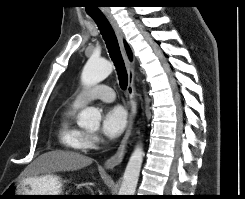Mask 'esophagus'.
<instances>
[{"mask_svg": "<svg viewBox=\"0 0 245 199\" xmlns=\"http://www.w3.org/2000/svg\"><path fill=\"white\" fill-rule=\"evenodd\" d=\"M107 18L117 35L121 53L126 64L127 73H128L127 94L129 96V101H130V112H129L128 125H127L125 135L120 143V146L118 147L117 152L109 159H107L106 162L104 163V168L107 170H111L117 165H119L124 158L127 142L133 130L134 120L137 113V104L135 101V91H134V62L130 61L128 58L127 52L124 47V35L116 19L113 17L112 14H107Z\"/></svg>", "mask_w": 245, "mask_h": 199, "instance_id": "34e87169", "label": "esophagus"}]
</instances>
